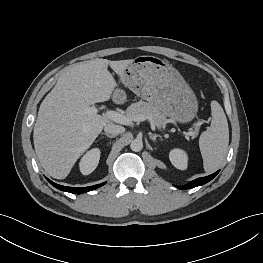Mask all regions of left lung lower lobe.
<instances>
[{
	"mask_svg": "<svg viewBox=\"0 0 263 263\" xmlns=\"http://www.w3.org/2000/svg\"><path fill=\"white\" fill-rule=\"evenodd\" d=\"M218 172L219 171H217L214 174H211L209 176L198 178L196 180L191 181L189 184H187L185 186H180L178 188L179 189H190V188H194V187L203 185V184L209 182L210 180H212L218 174Z\"/></svg>",
	"mask_w": 263,
	"mask_h": 263,
	"instance_id": "0a47b994",
	"label": "left lung lower lobe"
}]
</instances>
